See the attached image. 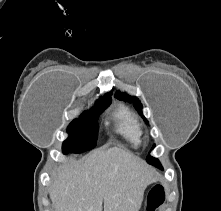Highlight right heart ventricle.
I'll use <instances>...</instances> for the list:
<instances>
[{"mask_svg":"<svg viewBox=\"0 0 221 211\" xmlns=\"http://www.w3.org/2000/svg\"><path fill=\"white\" fill-rule=\"evenodd\" d=\"M117 132L134 146L142 141V130L137 116L128 108L120 107L116 112Z\"/></svg>","mask_w":221,"mask_h":211,"instance_id":"obj_1","label":"right heart ventricle"}]
</instances>
